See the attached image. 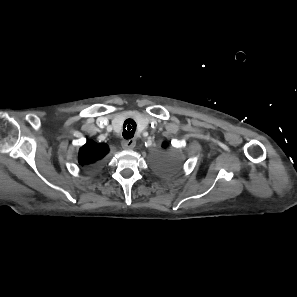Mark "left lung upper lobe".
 <instances>
[{
	"label": "left lung upper lobe",
	"mask_w": 297,
	"mask_h": 297,
	"mask_svg": "<svg viewBox=\"0 0 297 297\" xmlns=\"http://www.w3.org/2000/svg\"><path fill=\"white\" fill-rule=\"evenodd\" d=\"M163 147L165 148L166 145L163 144ZM154 163L157 167L162 169H170L175 166V161L170 156H167V155L156 156L154 158Z\"/></svg>",
	"instance_id": "1"
}]
</instances>
